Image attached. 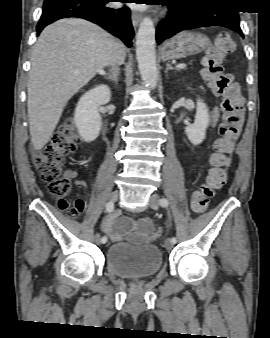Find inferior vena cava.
Instances as JSON below:
<instances>
[{
  "label": "inferior vena cava",
  "mask_w": 270,
  "mask_h": 338,
  "mask_svg": "<svg viewBox=\"0 0 270 338\" xmlns=\"http://www.w3.org/2000/svg\"><path fill=\"white\" fill-rule=\"evenodd\" d=\"M125 52L123 49H119L118 51L114 52L110 59L109 65L112 66L113 69H116L118 65H121L124 61Z\"/></svg>",
  "instance_id": "1"
}]
</instances>
